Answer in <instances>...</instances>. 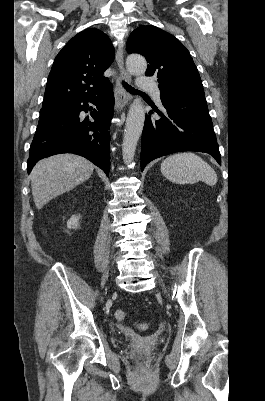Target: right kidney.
I'll use <instances>...</instances> for the list:
<instances>
[{
    "label": "right kidney",
    "mask_w": 265,
    "mask_h": 401,
    "mask_svg": "<svg viewBox=\"0 0 265 401\" xmlns=\"http://www.w3.org/2000/svg\"><path fill=\"white\" fill-rule=\"evenodd\" d=\"M79 215H72L71 219L67 221V227L68 229H77L79 225Z\"/></svg>",
    "instance_id": "obj_1"
}]
</instances>
